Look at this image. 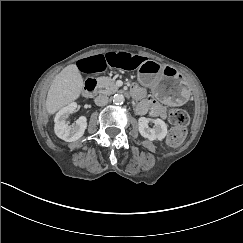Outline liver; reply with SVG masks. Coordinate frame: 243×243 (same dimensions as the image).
<instances>
[{
	"label": "liver",
	"mask_w": 243,
	"mask_h": 243,
	"mask_svg": "<svg viewBox=\"0 0 243 243\" xmlns=\"http://www.w3.org/2000/svg\"><path fill=\"white\" fill-rule=\"evenodd\" d=\"M83 78L75 64L68 65L57 74L49 88L46 110L54 114L62 107L76 100L83 89Z\"/></svg>",
	"instance_id": "1"
}]
</instances>
